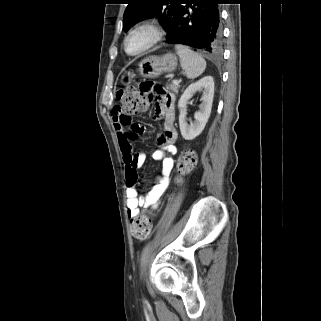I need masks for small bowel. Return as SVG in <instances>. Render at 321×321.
Instances as JSON below:
<instances>
[{
    "mask_svg": "<svg viewBox=\"0 0 321 321\" xmlns=\"http://www.w3.org/2000/svg\"><path fill=\"white\" fill-rule=\"evenodd\" d=\"M162 82L138 83V90H148V96H156L155 115L163 119V131L156 137L158 148L152 153L154 160L162 161L161 174L155 179L153 186L145 195H139L135 186L129 185L130 177L144 164L146 156L143 152H134L133 140L144 131V126L134 123L129 115H124L118 108L112 111V121L115 128L120 150L125 163L128 188L127 210L129 218H134L142 208L156 209L160 198L170 183V175L174 166L171 155L176 153L177 131L175 127V98L162 89Z\"/></svg>",
    "mask_w": 321,
    "mask_h": 321,
    "instance_id": "obj_1",
    "label": "small bowel"
}]
</instances>
